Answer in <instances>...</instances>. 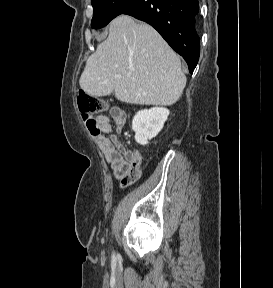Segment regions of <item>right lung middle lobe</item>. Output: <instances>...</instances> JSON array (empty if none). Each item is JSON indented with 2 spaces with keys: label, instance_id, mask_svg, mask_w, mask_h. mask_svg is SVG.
<instances>
[{
  "label": "right lung middle lobe",
  "instance_id": "1",
  "mask_svg": "<svg viewBox=\"0 0 273 288\" xmlns=\"http://www.w3.org/2000/svg\"><path fill=\"white\" fill-rule=\"evenodd\" d=\"M136 0H91L93 18L91 26L101 28L106 26L113 18L123 14Z\"/></svg>",
  "mask_w": 273,
  "mask_h": 288
}]
</instances>
